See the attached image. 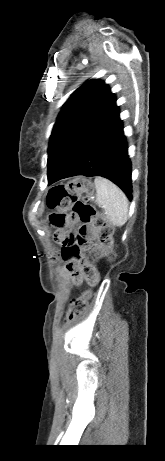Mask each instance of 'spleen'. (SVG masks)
<instances>
[{"label":"spleen","mask_w":165,"mask_h":461,"mask_svg":"<svg viewBox=\"0 0 165 461\" xmlns=\"http://www.w3.org/2000/svg\"><path fill=\"white\" fill-rule=\"evenodd\" d=\"M95 202L103 209L107 220L114 226H123L128 219V199L122 190L106 178L96 177Z\"/></svg>","instance_id":"spleen-1"}]
</instances>
